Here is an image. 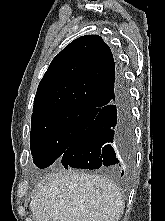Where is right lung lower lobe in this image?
Instances as JSON below:
<instances>
[{"label": "right lung lower lobe", "instance_id": "obj_1", "mask_svg": "<svg viewBox=\"0 0 165 221\" xmlns=\"http://www.w3.org/2000/svg\"><path fill=\"white\" fill-rule=\"evenodd\" d=\"M133 129L130 97L118 74L116 92L102 106L86 130L62 154V165L68 169L127 170L132 155Z\"/></svg>", "mask_w": 165, "mask_h": 221}]
</instances>
